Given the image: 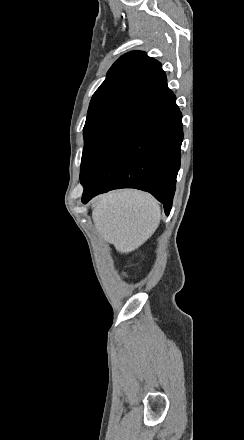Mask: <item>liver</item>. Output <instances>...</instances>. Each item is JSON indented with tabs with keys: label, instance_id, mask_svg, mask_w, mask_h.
Masks as SVG:
<instances>
[{
	"label": "liver",
	"instance_id": "1",
	"mask_svg": "<svg viewBox=\"0 0 244 440\" xmlns=\"http://www.w3.org/2000/svg\"><path fill=\"white\" fill-rule=\"evenodd\" d=\"M92 220L97 232L117 252L129 254L157 230L161 210L157 200L139 190H116L92 200Z\"/></svg>",
	"mask_w": 244,
	"mask_h": 440
}]
</instances>
